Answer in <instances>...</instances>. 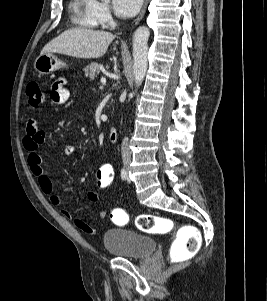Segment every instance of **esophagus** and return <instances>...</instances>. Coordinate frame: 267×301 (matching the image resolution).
<instances>
[{
	"label": "esophagus",
	"instance_id": "obj_1",
	"mask_svg": "<svg viewBox=\"0 0 267 301\" xmlns=\"http://www.w3.org/2000/svg\"><path fill=\"white\" fill-rule=\"evenodd\" d=\"M147 4H148V0H145L144 6H143L139 16L133 22L134 25H137L141 21V19L143 18L144 14H145V11H146Z\"/></svg>",
	"mask_w": 267,
	"mask_h": 301
}]
</instances>
